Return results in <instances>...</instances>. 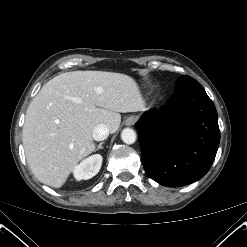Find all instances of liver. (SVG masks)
Returning a JSON list of instances; mask_svg holds the SVG:
<instances>
[{"label":"liver","instance_id":"1","mask_svg":"<svg viewBox=\"0 0 247 247\" xmlns=\"http://www.w3.org/2000/svg\"><path fill=\"white\" fill-rule=\"evenodd\" d=\"M145 108L136 81L125 74L73 71L48 81L30 103L23 126L27 163L43 184L60 188L83 158L95 151L93 129L115 133L120 113Z\"/></svg>","mask_w":247,"mask_h":247}]
</instances>
